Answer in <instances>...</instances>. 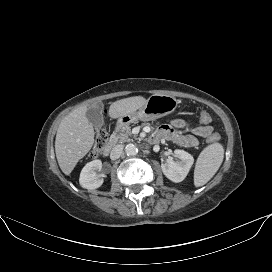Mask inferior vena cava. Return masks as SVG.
Masks as SVG:
<instances>
[{"label":"inferior vena cava","instance_id":"602c4592","mask_svg":"<svg viewBox=\"0 0 272 272\" xmlns=\"http://www.w3.org/2000/svg\"><path fill=\"white\" fill-rule=\"evenodd\" d=\"M122 152H123V145L119 144L114 146L110 153L111 160L118 159L121 156Z\"/></svg>","mask_w":272,"mask_h":272}]
</instances>
